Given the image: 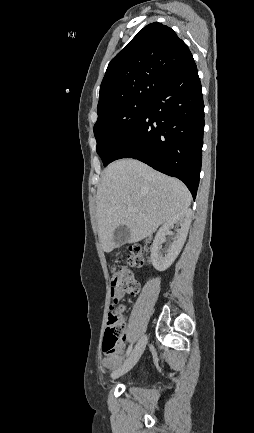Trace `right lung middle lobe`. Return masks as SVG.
<instances>
[{"label": "right lung middle lobe", "instance_id": "dd1d6c3e", "mask_svg": "<svg viewBox=\"0 0 254 433\" xmlns=\"http://www.w3.org/2000/svg\"><path fill=\"white\" fill-rule=\"evenodd\" d=\"M151 99H129L106 106L97 111L94 125L97 153L107 166L117 147L138 122Z\"/></svg>", "mask_w": 254, "mask_h": 433}]
</instances>
